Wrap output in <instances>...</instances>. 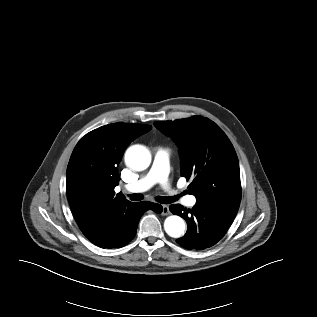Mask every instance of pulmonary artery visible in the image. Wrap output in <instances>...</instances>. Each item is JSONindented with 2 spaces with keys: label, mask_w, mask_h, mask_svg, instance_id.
<instances>
[{
  "label": "pulmonary artery",
  "mask_w": 317,
  "mask_h": 317,
  "mask_svg": "<svg viewBox=\"0 0 317 317\" xmlns=\"http://www.w3.org/2000/svg\"><path fill=\"white\" fill-rule=\"evenodd\" d=\"M169 157L170 152L167 149L157 148L154 154V159L152 166L148 173L140 178L135 183H132L126 187L129 193H139L144 192L151 188L153 185L159 183L164 188L169 189L168 183V173H169ZM173 197L180 199L182 195L178 194L176 191H171ZM197 199L193 195L185 196L182 199V203L186 206H194Z\"/></svg>",
  "instance_id": "e3ab8cb5"
}]
</instances>
